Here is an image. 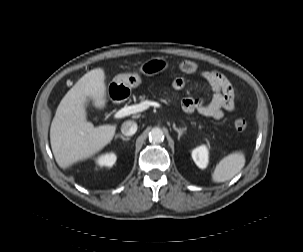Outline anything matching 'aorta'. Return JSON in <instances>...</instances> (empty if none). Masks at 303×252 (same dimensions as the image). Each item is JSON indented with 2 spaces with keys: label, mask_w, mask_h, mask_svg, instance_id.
Wrapping results in <instances>:
<instances>
[{
  "label": "aorta",
  "mask_w": 303,
  "mask_h": 252,
  "mask_svg": "<svg viewBox=\"0 0 303 252\" xmlns=\"http://www.w3.org/2000/svg\"><path fill=\"white\" fill-rule=\"evenodd\" d=\"M149 140L152 142H162L164 140V133L160 128H153L150 132H149Z\"/></svg>",
  "instance_id": "1"
}]
</instances>
